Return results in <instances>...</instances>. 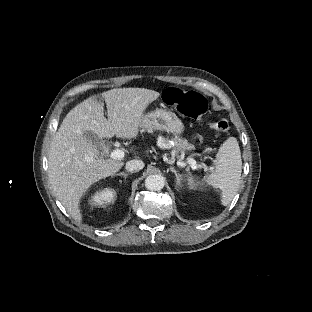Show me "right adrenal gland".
<instances>
[{"instance_id": "obj_1", "label": "right adrenal gland", "mask_w": 312, "mask_h": 312, "mask_svg": "<svg viewBox=\"0 0 312 312\" xmlns=\"http://www.w3.org/2000/svg\"><path fill=\"white\" fill-rule=\"evenodd\" d=\"M118 176H124V178L126 179V177L129 175L127 173L121 172L117 174Z\"/></svg>"}]
</instances>
